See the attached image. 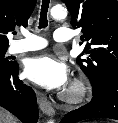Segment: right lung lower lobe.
Wrapping results in <instances>:
<instances>
[{
    "label": "right lung lower lobe",
    "instance_id": "right-lung-lower-lobe-1",
    "mask_svg": "<svg viewBox=\"0 0 118 123\" xmlns=\"http://www.w3.org/2000/svg\"><path fill=\"white\" fill-rule=\"evenodd\" d=\"M19 66L0 69V106L6 108L24 123H36L38 107L31 87L18 78Z\"/></svg>",
    "mask_w": 118,
    "mask_h": 123
}]
</instances>
